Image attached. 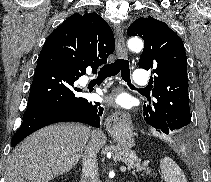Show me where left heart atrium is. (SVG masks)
Wrapping results in <instances>:
<instances>
[{
	"mask_svg": "<svg viewBox=\"0 0 211 182\" xmlns=\"http://www.w3.org/2000/svg\"><path fill=\"white\" fill-rule=\"evenodd\" d=\"M114 103L120 107H128V98L124 95H120L114 98Z\"/></svg>",
	"mask_w": 211,
	"mask_h": 182,
	"instance_id": "39dd6f15",
	"label": "left heart atrium"
}]
</instances>
